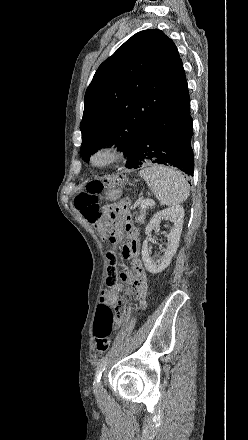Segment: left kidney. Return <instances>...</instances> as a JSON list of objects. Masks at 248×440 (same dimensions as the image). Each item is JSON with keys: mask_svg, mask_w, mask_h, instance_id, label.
<instances>
[{"mask_svg": "<svg viewBox=\"0 0 248 440\" xmlns=\"http://www.w3.org/2000/svg\"><path fill=\"white\" fill-rule=\"evenodd\" d=\"M165 217H170L174 225L170 233L166 235L168 240L167 249L165 250L164 255L161 257V259L155 262L150 257V250L148 248L147 240L143 242L142 246V260L144 262L146 270L152 274L160 273L165 268H167L172 260V257L177 251L183 227L184 209L182 206H175L157 212L152 217L150 223L146 226L145 234L149 236L152 229L158 226Z\"/></svg>", "mask_w": 248, "mask_h": 440, "instance_id": "left-kidney-1", "label": "left kidney"}]
</instances>
